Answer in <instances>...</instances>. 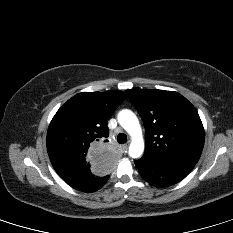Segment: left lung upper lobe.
<instances>
[{"label": "left lung upper lobe", "mask_w": 233, "mask_h": 233, "mask_svg": "<svg viewBox=\"0 0 233 233\" xmlns=\"http://www.w3.org/2000/svg\"><path fill=\"white\" fill-rule=\"evenodd\" d=\"M126 93L145 126V154L154 160L197 163L204 128L195 107L174 91L131 89Z\"/></svg>", "instance_id": "obj_1"}]
</instances>
